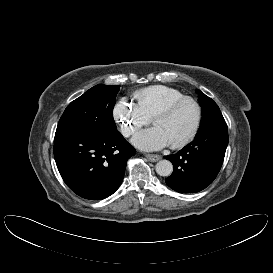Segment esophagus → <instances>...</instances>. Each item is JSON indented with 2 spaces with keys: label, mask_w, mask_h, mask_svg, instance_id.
I'll use <instances>...</instances> for the list:
<instances>
[{
  "label": "esophagus",
  "mask_w": 273,
  "mask_h": 273,
  "mask_svg": "<svg viewBox=\"0 0 273 273\" xmlns=\"http://www.w3.org/2000/svg\"><path fill=\"white\" fill-rule=\"evenodd\" d=\"M145 157L150 161V162H157L161 159L160 155L157 154H145Z\"/></svg>",
  "instance_id": "obj_1"
}]
</instances>
